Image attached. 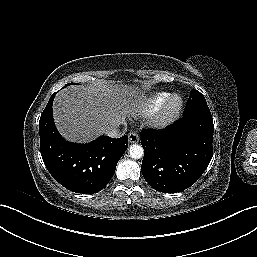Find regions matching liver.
Wrapping results in <instances>:
<instances>
[{"mask_svg": "<svg viewBox=\"0 0 257 257\" xmlns=\"http://www.w3.org/2000/svg\"><path fill=\"white\" fill-rule=\"evenodd\" d=\"M142 97L138 87L112 81L96 87L71 86L60 91L54 99V121L67 141L89 142L107 129L125 123Z\"/></svg>", "mask_w": 257, "mask_h": 257, "instance_id": "obj_1", "label": "liver"}]
</instances>
